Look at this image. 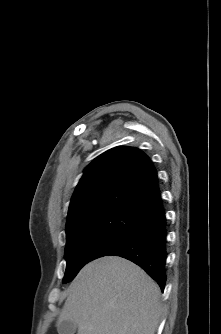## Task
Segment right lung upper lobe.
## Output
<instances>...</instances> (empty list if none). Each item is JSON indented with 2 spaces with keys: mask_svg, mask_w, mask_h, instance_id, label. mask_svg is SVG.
<instances>
[{
  "mask_svg": "<svg viewBox=\"0 0 221 334\" xmlns=\"http://www.w3.org/2000/svg\"><path fill=\"white\" fill-rule=\"evenodd\" d=\"M159 198L157 172L149 157L137 148H112L86 167L71 199L66 233L103 213L142 215Z\"/></svg>",
  "mask_w": 221,
  "mask_h": 334,
  "instance_id": "obj_1",
  "label": "right lung upper lobe"
}]
</instances>
